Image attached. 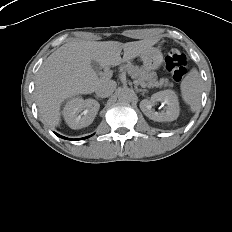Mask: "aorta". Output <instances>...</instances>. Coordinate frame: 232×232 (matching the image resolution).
<instances>
[{
  "mask_svg": "<svg viewBox=\"0 0 232 232\" xmlns=\"http://www.w3.org/2000/svg\"><path fill=\"white\" fill-rule=\"evenodd\" d=\"M134 95V91L128 87H123L118 91V99L124 102H131Z\"/></svg>",
  "mask_w": 232,
  "mask_h": 232,
  "instance_id": "aorta-1",
  "label": "aorta"
}]
</instances>
